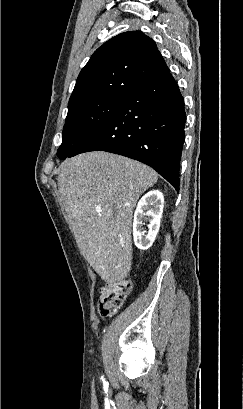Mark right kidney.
Wrapping results in <instances>:
<instances>
[{"label": "right kidney", "mask_w": 243, "mask_h": 409, "mask_svg": "<svg viewBox=\"0 0 243 409\" xmlns=\"http://www.w3.org/2000/svg\"><path fill=\"white\" fill-rule=\"evenodd\" d=\"M163 206L164 197L158 190L147 192L139 200L133 221V238L138 249L147 250L153 244L160 227ZM145 222H149L148 230L143 228Z\"/></svg>", "instance_id": "ca27d5eb"}]
</instances>
